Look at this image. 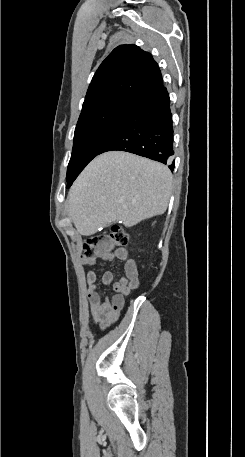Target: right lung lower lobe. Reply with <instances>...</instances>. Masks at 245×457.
<instances>
[{
	"mask_svg": "<svg viewBox=\"0 0 245 457\" xmlns=\"http://www.w3.org/2000/svg\"><path fill=\"white\" fill-rule=\"evenodd\" d=\"M112 150L131 152L164 164L172 160V114L169 95L163 85L133 104L99 154ZM174 164L173 161L169 165L171 170Z\"/></svg>",
	"mask_w": 245,
	"mask_h": 457,
	"instance_id": "98d812e1",
	"label": "right lung lower lobe"
}]
</instances>
